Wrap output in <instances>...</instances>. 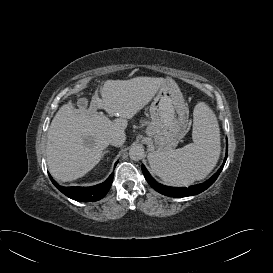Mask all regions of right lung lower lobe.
<instances>
[{
	"mask_svg": "<svg viewBox=\"0 0 273 273\" xmlns=\"http://www.w3.org/2000/svg\"><path fill=\"white\" fill-rule=\"evenodd\" d=\"M118 163V161L115 163ZM49 177L52 183L56 186L58 190H60L63 194L68 196L69 198L79 201V202H95L102 199L107 192L109 191L112 181H113V174L109 176V178L96 186L91 187H63L56 183L55 180L50 176Z\"/></svg>",
	"mask_w": 273,
	"mask_h": 273,
	"instance_id": "98d812e1",
	"label": "right lung lower lobe"
}]
</instances>
